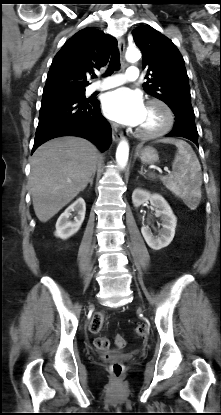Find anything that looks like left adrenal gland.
I'll list each match as a JSON object with an SVG mask.
<instances>
[{"label":"left adrenal gland","mask_w":221,"mask_h":415,"mask_svg":"<svg viewBox=\"0 0 221 415\" xmlns=\"http://www.w3.org/2000/svg\"><path fill=\"white\" fill-rule=\"evenodd\" d=\"M139 173L142 174V175L144 174L143 173V166L141 167V171Z\"/></svg>","instance_id":"left-adrenal-gland-1"}]
</instances>
